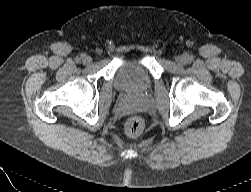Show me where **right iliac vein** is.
Returning <instances> with one entry per match:
<instances>
[{
  "instance_id": "obj_1",
  "label": "right iliac vein",
  "mask_w": 251,
  "mask_h": 192,
  "mask_svg": "<svg viewBox=\"0 0 251 192\" xmlns=\"http://www.w3.org/2000/svg\"><path fill=\"white\" fill-rule=\"evenodd\" d=\"M92 62V58L90 56H85L83 58V63L84 64H90Z\"/></svg>"
}]
</instances>
